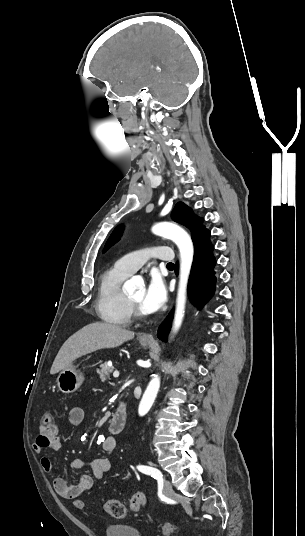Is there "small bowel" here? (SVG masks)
<instances>
[{"label":"small bowel","mask_w":305,"mask_h":536,"mask_svg":"<svg viewBox=\"0 0 305 536\" xmlns=\"http://www.w3.org/2000/svg\"><path fill=\"white\" fill-rule=\"evenodd\" d=\"M85 419V410L82 407L75 406L68 413V420L72 425H80ZM101 449L105 452H112L116 448V440L111 436H102L96 439ZM63 446L62 439L59 435V429L56 424L54 427H38V433L33 443V450L36 453H42L46 448L60 450ZM40 464L45 472L52 470V461L46 455L40 458ZM69 466L72 470H82L88 468L91 475H82L75 485H69L62 477H57L53 481L55 492L66 499L67 495H77L90 489L94 479H101L111 470V461L106 457H96L91 460L76 458L70 461Z\"/></svg>","instance_id":"1"}]
</instances>
